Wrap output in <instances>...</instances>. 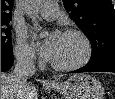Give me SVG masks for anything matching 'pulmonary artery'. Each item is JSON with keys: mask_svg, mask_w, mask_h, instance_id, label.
<instances>
[{"mask_svg": "<svg viewBox=\"0 0 115 99\" xmlns=\"http://www.w3.org/2000/svg\"><path fill=\"white\" fill-rule=\"evenodd\" d=\"M40 15L47 20L55 19L59 15L58 5L53 1L44 2L40 9Z\"/></svg>", "mask_w": 115, "mask_h": 99, "instance_id": "pulmonary-artery-1", "label": "pulmonary artery"}]
</instances>
